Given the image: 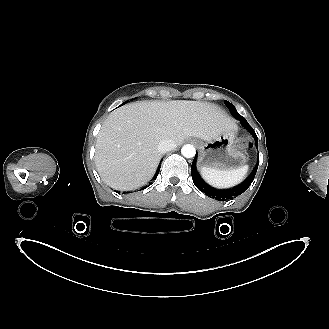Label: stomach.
<instances>
[{"label": "stomach", "instance_id": "stomach-1", "mask_svg": "<svg viewBox=\"0 0 329 329\" xmlns=\"http://www.w3.org/2000/svg\"><path fill=\"white\" fill-rule=\"evenodd\" d=\"M248 157L237 137V128L200 146L198 165L201 168L229 171L246 166Z\"/></svg>", "mask_w": 329, "mask_h": 329}]
</instances>
